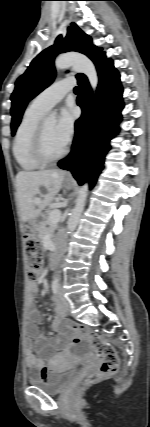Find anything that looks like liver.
Masks as SVG:
<instances>
[{
    "instance_id": "6515ba94",
    "label": "liver",
    "mask_w": 150,
    "mask_h": 427,
    "mask_svg": "<svg viewBox=\"0 0 150 427\" xmlns=\"http://www.w3.org/2000/svg\"><path fill=\"white\" fill-rule=\"evenodd\" d=\"M64 176L65 172L58 170L21 171L17 174L16 189L23 222L37 218L45 207L57 199ZM41 186L45 187L48 193L42 195L39 203H35V196L40 194Z\"/></svg>"
}]
</instances>
